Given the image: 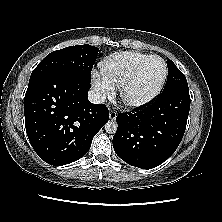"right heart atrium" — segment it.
I'll use <instances>...</instances> for the list:
<instances>
[{
	"mask_svg": "<svg viewBox=\"0 0 222 222\" xmlns=\"http://www.w3.org/2000/svg\"><path fill=\"white\" fill-rule=\"evenodd\" d=\"M93 89L99 98L111 97L114 95V85L102 74L93 72L91 76Z\"/></svg>",
	"mask_w": 222,
	"mask_h": 222,
	"instance_id": "obj_1",
	"label": "right heart atrium"
}]
</instances>
